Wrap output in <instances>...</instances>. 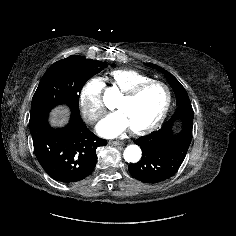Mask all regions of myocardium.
Masks as SVG:
<instances>
[{"mask_svg":"<svg viewBox=\"0 0 236 236\" xmlns=\"http://www.w3.org/2000/svg\"><path fill=\"white\" fill-rule=\"evenodd\" d=\"M155 84L161 85L165 89L166 95H167L166 103H165L160 115L153 123H151L150 125L145 126L143 128H139V129L131 128L130 130L133 134L145 135V134L151 133L162 124V122L164 121V119L166 118V116L169 112V109H170V106L172 103V93H171L169 86L165 82H163L161 80L151 79V80H148L146 82L136 85L131 90H129L128 92H125L121 95L122 100L132 101L135 98H137L145 89H147L151 85H155Z\"/></svg>","mask_w":236,"mask_h":236,"instance_id":"myocardium-1","label":"myocardium"}]
</instances>
